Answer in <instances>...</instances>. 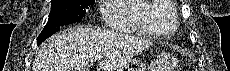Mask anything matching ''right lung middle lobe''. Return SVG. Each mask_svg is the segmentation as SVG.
Instances as JSON below:
<instances>
[{
  "label": "right lung middle lobe",
  "mask_w": 230,
  "mask_h": 71,
  "mask_svg": "<svg viewBox=\"0 0 230 71\" xmlns=\"http://www.w3.org/2000/svg\"><path fill=\"white\" fill-rule=\"evenodd\" d=\"M95 0H51V11L44 29H50L79 21Z\"/></svg>",
  "instance_id": "dd1d6c3e"
}]
</instances>
